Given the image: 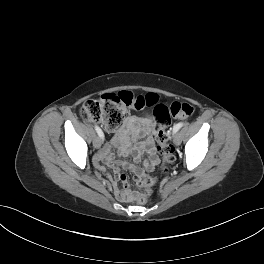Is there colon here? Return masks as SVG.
<instances>
[{
	"label": "colon",
	"mask_w": 264,
	"mask_h": 264,
	"mask_svg": "<svg viewBox=\"0 0 264 264\" xmlns=\"http://www.w3.org/2000/svg\"><path fill=\"white\" fill-rule=\"evenodd\" d=\"M146 107H153L154 118L157 121L155 134L157 149L162 158L160 171L165 173L167 165L175 159L174 148L170 144L169 127L173 118L187 119L193 115L195 107L191 102H173L168 106L158 103V98L153 93L138 95L131 91H120L85 102L80 108V115L84 121H97L109 131H116L122 126L130 110H142ZM136 184L149 191L155 184V179L145 173ZM132 198L143 205L148 200V192L137 191Z\"/></svg>",
	"instance_id": "5ec220e1"
}]
</instances>
